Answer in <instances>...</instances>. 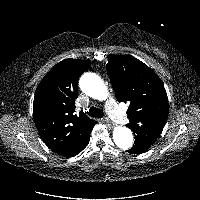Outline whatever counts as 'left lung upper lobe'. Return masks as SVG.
<instances>
[{
    "label": "left lung upper lobe",
    "instance_id": "5c2ea615",
    "mask_svg": "<svg viewBox=\"0 0 200 200\" xmlns=\"http://www.w3.org/2000/svg\"><path fill=\"white\" fill-rule=\"evenodd\" d=\"M106 68L116 99L129 104L127 127L134 133L135 144L151 146L163 131L169 111L163 82L129 55H109Z\"/></svg>",
    "mask_w": 200,
    "mask_h": 200
}]
</instances>
